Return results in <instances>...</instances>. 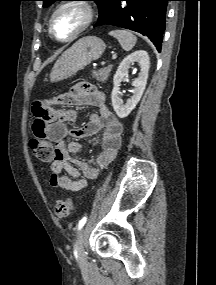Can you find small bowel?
Segmentation results:
<instances>
[{
	"instance_id": "small-bowel-1",
	"label": "small bowel",
	"mask_w": 216,
	"mask_h": 285,
	"mask_svg": "<svg viewBox=\"0 0 216 285\" xmlns=\"http://www.w3.org/2000/svg\"><path fill=\"white\" fill-rule=\"evenodd\" d=\"M63 105H90L98 109L91 113L82 127L69 129L77 112L72 109L53 111L41 103L33 106L34 136H46L56 143L55 158L51 163L50 184L55 188L78 192L86 188L88 181L95 179L100 168H105L116 156L121 145L123 126L106 104L105 94L93 85L82 82L58 99ZM101 134V148L96 156V165L75 158L82 150L76 141L66 142L67 137L86 138Z\"/></svg>"
}]
</instances>
